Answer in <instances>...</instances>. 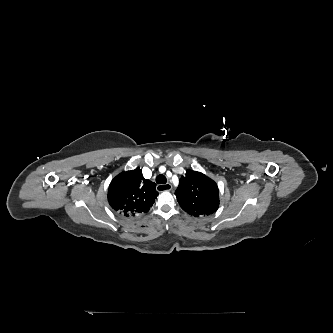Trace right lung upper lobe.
<instances>
[{
  "label": "right lung upper lobe",
  "instance_id": "right-lung-upper-lobe-1",
  "mask_svg": "<svg viewBox=\"0 0 333 333\" xmlns=\"http://www.w3.org/2000/svg\"><path fill=\"white\" fill-rule=\"evenodd\" d=\"M155 187L154 182L143 178L140 168L122 172L109 185L108 202L125 217L146 213L158 196Z\"/></svg>",
  "mask_w": 333,
  "mask_h": 333
}]
</instances>
